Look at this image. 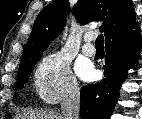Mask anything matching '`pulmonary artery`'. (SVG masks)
<instances>
[{"label": "pulmonary artery", "instance_id": "pulmonary-artery-1", "mask_svg": "<svg viewBox=\"0 0 142 119\" xmlns=\"http://www.w3.org/2000/svg\"><path fill=\"white\" fill-rule=\"evenodd\" d=\"M92 38L93 37L91 34H87L84 37V44L82 46V52L86 56H93L95 54V47L91 44Z\"/></svg>", "mask_w": 142, "mask_h": 119}]
</instances>
